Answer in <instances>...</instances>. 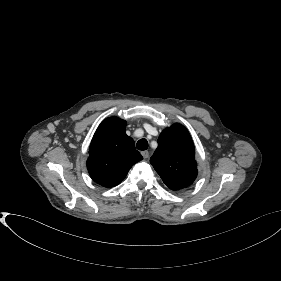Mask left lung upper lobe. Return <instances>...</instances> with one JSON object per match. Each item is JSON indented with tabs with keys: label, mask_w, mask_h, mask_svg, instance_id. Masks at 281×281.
<instances>
[{
	"label": "left lung upper lobe",
	"mask_w": 281,
	"mask_h": 281,
	"mask_svg": "<svg viewBox=\"0 0 281 281\" xmlns=\"http://www.w3.org/2000/svg\"><path fill=\"white\" fill-rule=\"evenodd\" d=\"M150 163L171 190L190 186L198 170L195 148L188 130L180 124L163 130Z\"/></svg>",
	"instance_id": "1"
}]
</instances>
